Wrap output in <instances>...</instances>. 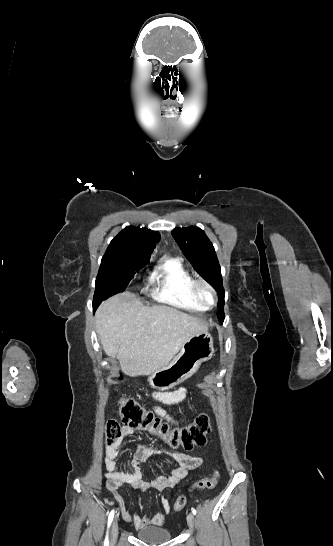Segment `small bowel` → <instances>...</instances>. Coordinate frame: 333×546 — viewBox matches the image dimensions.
I'll list each match as a JSON object with an SVG mask.
<instances>
[{
  "label": "small bowel",
  "mask_w": 333,
  "mask_h": 546,
  "mask_svg": "<svg viewBox=\"0 0 333 546\" xmlns=\"http://www.w3.org/2000/svg\"><path fill=\"white\" fill-rule=\"evenodd\" d=\"M187 397V389L182 387L173 392H153L152 398L160 405H178ZM156 405L155 412L167 424L176 426L183 422L184 418H174L163 407ZM133 429L123 426L120 437L113 444L105 448L104 465L106 469L105 478L107 487L113 496L121 505L123 519L132 522L137 529L149 525L160 526L165 520V515L155 513L151 516L143 514L140 510H131L118 494L117 490L127 486L140 492L154 490L160 493V502L165 513L171 511V506L164 493L167 489L173 488L182 479H184L189 470L199 467L203 459L200 456H194L185 453H173L158 449L146 447L141 444H133V460L128 468H124L117 463L120 448L125 440L132 437ZM156 457H167L172 460L176 466L167 474L158 475L153 478L144 477L141 465L146 461Z\"/></svg>",
  "instance_id": "obj_1"
}]
</instances>
